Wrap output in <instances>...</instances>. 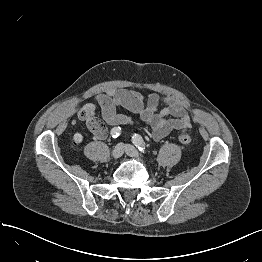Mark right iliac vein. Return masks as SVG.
<instances>
[{"label": "right iliac vein", "mask_w": 262, "mask_h": 262, "mask_svg": "<svg viewBox=\"0 0 262 262\" xmlns=\"http://www.w3.org/2000/svg\"><path fill=\"white\" fill-rule=\"evenodd\" d=\"M124 153V146L123 144H118L115 146V148L112 151V158L114 160L119 159Z\"/></svg>", "instance_id": "right-iliac-vein-1"}]
</instances>
